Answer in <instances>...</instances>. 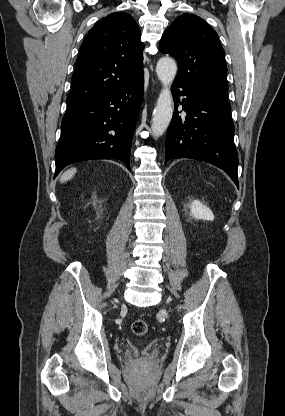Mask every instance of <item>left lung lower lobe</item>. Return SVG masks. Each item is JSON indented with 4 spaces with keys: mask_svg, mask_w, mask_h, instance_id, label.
I'll list each match as a JSON object with an SVG mask.
<instances>
[{
    "mask_svg": "<svg viewBox=\"0 0 285 416\" xmlns=\"http://www.w3.org/2000/svg\"><path fill=\"white\" fill-rule=\"evenodd\" d=\"M171 90L176 108L167 132L165 161L190 158L211 163L224 170L239 188L228 102L206 98L176 82ZM178 96L186 98L179 102ZM178 102L187 113L185 118L178 115Z\"/></svg>",
    "mask_w": 285,
    "mask_h": 416,
    "instance_id": "1",
    "label": "left lung lower lobe"
}]
</instances>
